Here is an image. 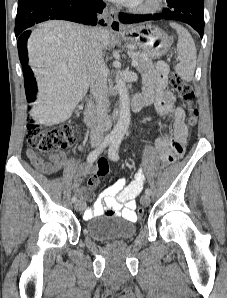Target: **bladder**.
I'll return each mask as SVG.
<instances>
[{
	"label": "bladder",
	"instance_id": "31cf9c89",
	"mask_svg": "<svg viewBox=\"0 0 227 298\" xmlns=\"http://www.w3.org/2000/svg\"><path fill=\"white\" fill-rule=\"evenodd\" d=\"M86 234L100 243L132 239L137 232L135 222L124 218L91 219L86 223Z\"/></svg>",
	"mask_w": 227,
	"mask_h": 298
}]
</instances>
